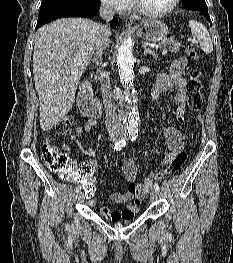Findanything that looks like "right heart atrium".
Masks as SVG:
<instances>
[{"label":"right heart atrium","instance_id":"obj_1","mask_svg":"<svg viewBox=\"0 0 233 263\" xmlns=\"http://www.w3.org/2000/svg\"><path fill=\"white\" fill-rule=\"evenodd\" d=\"M106 6L112 10L123 13L130 7V0H101Z\"/></svg>","mask_w":233,"mask_h":263}]
</instances>
